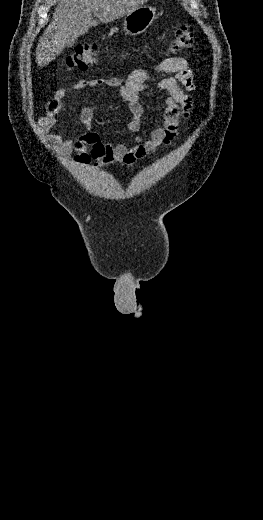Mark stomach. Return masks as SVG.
I'll list each match as a JSON object with an SVG mask.
<instances>
[{
    "label": "stomach",
    "mask_w": 263,
    "mask_h": 520,
    "mask_svg": "<svg viewBox=\"0 0 263 520\" xmlns=\"http://www.w3.org/2000/svg\"><path fill=\"white\" fill-rule=\"evenodd\" d=\"M156 18V9L149 5H141L124 17L123 29L131 36L142 34Z\"/></svg>",
    "instance_id": "stomach-1"
}]
</instances>
